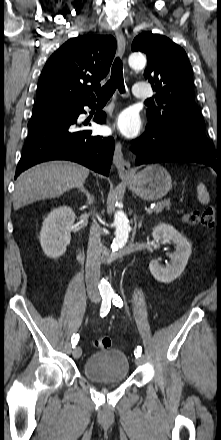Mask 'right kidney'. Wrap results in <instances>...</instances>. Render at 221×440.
Wrapping results in <instances>:
<instances>
[{
  "label": "right kidney",
  "mask_w": 221,
  "mask_h": 440,
  "mask_svg": "<svg viewBox=\"0 0 221 440\" xmlns=\"http://www.w3.org/2000/svg\"><path fill=\"white\" fill-rule=\"evenodd\" d=\"M74 221L75 214L67 206L54 209L44 219L39 239L47 257L56 259L65 253L70 243V231Z\"/></svg>",
  "instance_id": "right-kidney-1"
}]
</instances>
